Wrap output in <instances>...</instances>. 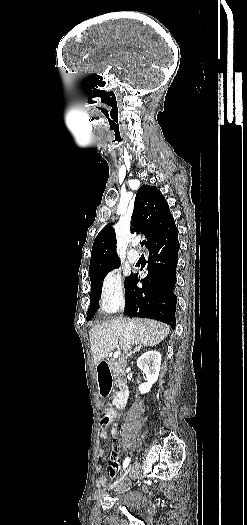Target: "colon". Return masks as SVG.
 Masks as SVG:
<instances>
[{
	"instance_id": "obj_1",
	"label": "colon",
	"mask_w": 247,
	"mask_h": 525,
	"mask_svg": "<svg viewBox=\"0 0 247 525\" xmlns=\"http://www.w3.org/2000/svg\"><path fill=\"white\" fill-rule=\"evenodd\" d=\"M100 424L102 427L107 428L111 425V420L107 417L101 419Z\"/></svg>"
}]
</instances>
